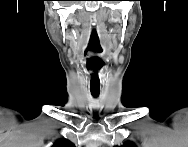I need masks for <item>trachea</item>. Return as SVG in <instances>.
<instances>
[{
	"label": "trachea",
	"instance_id": "1",
	"mask_svg": "<svg viewBox=\"0 0 188 147\" xmlns=\"http://www.w3.org/2000/svg\"><path fill=\"white\" fill-rule=\"evenodd\" d=\"M98 95H99V93H97V92H92V96H93V97H98Z\"/></svg>",
	"mask_w": 188,
	"mask_h": 147
}]
</instances>
